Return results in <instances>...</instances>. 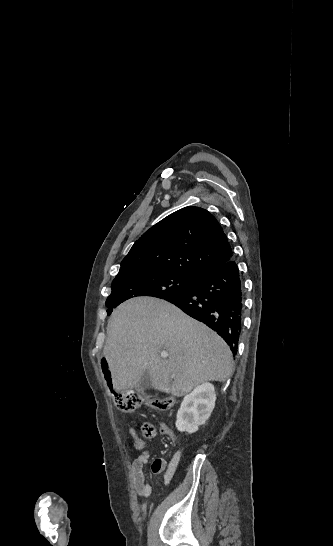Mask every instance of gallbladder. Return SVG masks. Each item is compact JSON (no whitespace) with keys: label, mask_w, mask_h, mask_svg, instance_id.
Wrapping results in <instances>:
<instances>
[{"label":"gallbladder","mask_w":333,"mask_h":546,"mask_svg":"<svg viewBox=\"0 0 333 546\" xmlns=\"http://www.w3.org/2000/svg\"><path fill=\"white\" fill-rule=\"evenodd\" d=\"M136 391L142 395L150 396L152 393L151 377L148 372H145L138 381Z\"/></svg>","instance_id":"gallbladder-1"}]
</instances>
